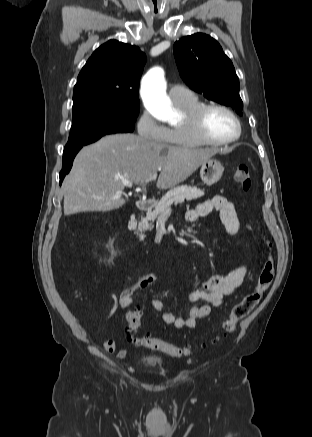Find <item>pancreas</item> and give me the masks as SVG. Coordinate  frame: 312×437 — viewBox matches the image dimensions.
I'll return each instance as SVG.
<instances>
[{
    "label": "pancreas",
    "mask_w": 312,
    "mask_h": 437,
    "mask_svg": "<svg viewBox=\"0 0 312 437\" xmlns=\"http://www.w3.org/2000/svg\"><path fill=\"white\" fill-rule=\"evenodd\" d=\"M203 195L204 190L187 185L177 186L168 191L165 196H163L161 200L157 202L154 210H149L146 213V216L141 218V221L138 225L140 239L143 240L145 238V235L142 232L151 230L153 228V222L160 214L171 208V205L183 203L185 200L191 201Z\"/></svg>",
    "instance_id": "obj_1"
}]
</instances>
